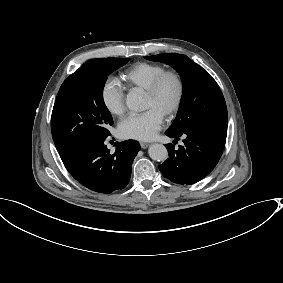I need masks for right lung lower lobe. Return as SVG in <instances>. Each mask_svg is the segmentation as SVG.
<instances>
[{"label":"right lung lower lobe","mask_w":283,"mask_h":283,"mask_svg":"<svg viewBox=\"0 0 283 283\" xmlns=\"http://www.w3.org/2000/svg\"><path fill=\"white\" fill-rule=\"evenodd\" d=\"M102 137L84 145L62 161L69 173L82 185L99 193H111L126 187L134 158L140 150L135 140L116 143L110 153Z\"/></svg>","instance_id":"98d812e1"}]
</instances>
